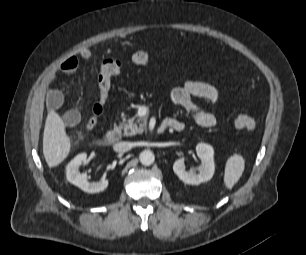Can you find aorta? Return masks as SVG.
<instances>
[{
	"label": "aorta",
	"mask_w": 306,
	"mask_h": 255,
	"mask_svg": "<svg viewBox=\"0 0 306 255\" xmlns=\"http://www.w3.org/2000/svg\"><path fill=\"white\" fill-rule=\"evenodd\" d=\"M140 162L144 166H150L154 163L155 156L150 150H144L139 156Z\"/></svg>",
	"instance_id": "obj_1"
}]
</instances>
